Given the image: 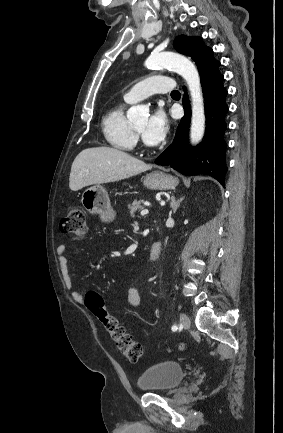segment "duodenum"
I'll return each instance as SVG.
<instances>
[{
	"mask_svg": "<svg viewBox=\"0 0 283 433\" xmlns=\"http://www.w3.org/2000/svg\"><path fill=\"white\" fill-rule=\"evenodd\" d=\"M162 253V243L160 241H155L150 250V260L155 262L157 261Z\"/></svg>",
	"mask_w": 283,
	"mask_h": 433,
	"instance_id": "1",
	"label": "duodenum"
}]
</instances>
